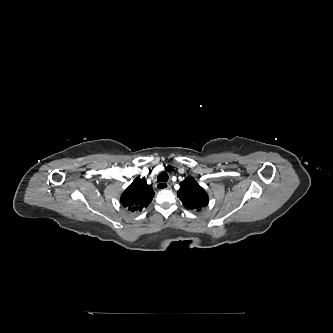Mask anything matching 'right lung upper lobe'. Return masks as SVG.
Here are the masks:
<instances>
[{
    "label": "right lung upper lobe",
    "instance_id": "1",
    "mask_svg": "<svg viewBox=\"0 0 333 333\" xmlns=\"http://www.w3.org/2000/svg\"><path fill=\"white\" fill-rule=\"evenodd\" d=\"M154 191L143 178H136L123 192L120 202L129 211H141L151 203Z\"/></svg>",
    "mask_w": 333,
    "mask_h": 333
}]
</instances>
